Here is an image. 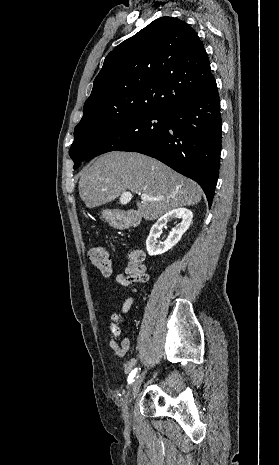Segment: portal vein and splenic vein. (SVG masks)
Wrapping results in <instances>:
<instances>
[{"instance_id":"1","label":"portal vein and splenic vein","mask_w":279,"mask_h":465,"mask_svg":"<svg viewBox=\"0 0 279 465\" xmlns=\"http://www.w3.org/2000/svg\"><path fill=\"white\" fill-rule=\"evenodd\" d=\"M131 196L132 195H131L130 192H126V193L123 194L122 197H129L130 198ZM141 199L143 201H159V200H162V198H160V197H149L147 194H144V193L141 194Z\"/></svg>"}]
</instances>
